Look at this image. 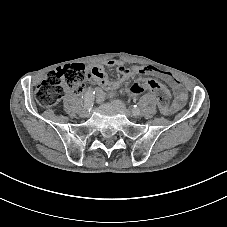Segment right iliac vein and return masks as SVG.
<instances>
[{
	"label": "right iliac vein",
	"mask_w": 227,
	"mask_h": 227,
	"mask_svg": "<svg viewBox=\"0 0 227 227\" xmlns=\"http://www.w3.org/2000/svg\"><path fill=\"white\" fill-rule=\"evenodd\" d=\"M80 114H81V116H83V117H88V116L90 115V111H88V110H83Z\"/></svg>",
	"instance_id": "obj_1"
}]
</instances>
